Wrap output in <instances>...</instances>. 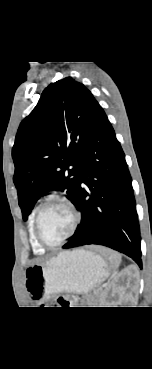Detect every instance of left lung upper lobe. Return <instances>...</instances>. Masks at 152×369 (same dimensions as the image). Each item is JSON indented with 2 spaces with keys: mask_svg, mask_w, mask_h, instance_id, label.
<instances>
[{
  "mask_svg": "<svg viewBox=\"0 0 152 369\" xmlns=\"http://www.w3.org/2000/svg\"><path fill=\"white\" fill-rule=\"evenodd\" d=\"M99 108L83 84L66 77L51 83L21 122L12 157L24 220L47 191H66L74 202L81 155Z\"/></svg>",
  "mask_w": 152,
  "mask_h": 369,
  "instance_id": "obj_1",
  "label": "left lung upper lobe"
}]
</instances>
